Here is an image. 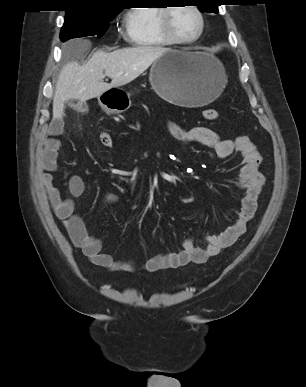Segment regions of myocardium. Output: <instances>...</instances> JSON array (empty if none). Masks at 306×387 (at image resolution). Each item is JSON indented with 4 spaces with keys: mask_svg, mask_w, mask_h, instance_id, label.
<instances>
[{
    "mask_svg": "<svg viewBox=\"0 0 306 387\" xmlns=\"http://www.w3.org/2000/svg\"><path fill=\"white\" fill-rule=\"evenodd\" d=\"M187 7L191 8L199 17L200 21V27L198 33L193 37L189 39H184L179 37L173 30L171 17L173 14V11L177 8L176 6H167L162 9L161 15H160V27L162 34L164 37L170 41L172 44H181V45H188L193 44L197 42L201 36L204 33L205 30V17L202 12V10L193 4L186 5Z\"/></svg>",
    "mask_w": 306,
    "mask_h": 387,
    "instance_id": "1",
    "label": "myocardium"
}]
</instances>
